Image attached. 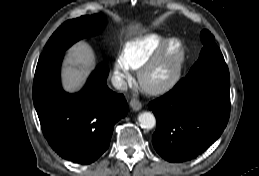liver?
<instances>
[{
  "mask_svg": "<svg viewBox=\"0 0 259 176\" xmlns=\"http://www.w3.org/2000/svg\"><path fill=\"white\" fill-rule=\"evenodd\" d=\"M140 26H130L136 32ZM95 66L93 50L86 42H78L68 50L62 70L63 86L69 92L79 90Z\"/></svg>",
  "mask_w": 259,
  "mask_h": 176,
  "instance_id": "liver-1",
  "label": "liver"
}]
</instances>
